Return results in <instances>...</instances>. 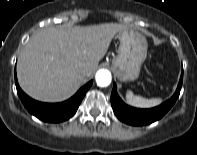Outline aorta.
Segmentation results:
<instances>
[{
    "instance_id": "aorta-1",
    "label": "aorta",
    "mask_w": 197,
    "mask_h": 155,
    "mask_svg": "<svg viewBox=\"0 0 197 155\" xmlns=\"http://www.w3.org/2000/svg\"><path fill=\"white\" fill-rule=\"evenodd\" d=\"M95 79L98 86L106 87L110 85L112 77L110 71L101 69L97 71Z\"/></svg>"
}]
</instances>
